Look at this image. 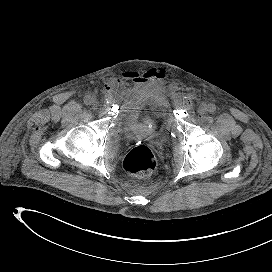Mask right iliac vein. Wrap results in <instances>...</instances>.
<instances>
[{
  "mask_svg": "<svg viewBox=\"0 0 272 272\" xmlns=\"http://www.w3.org/2000/svg\"><path fill=\"white\" fill-rule=\"evenodd\" d=\"M91 105L95 108L98 105V100L95 97H91Z\"/></svg>",
  "mask_w": 272,
  "mask_h": 272,
  "instance_id": "1",
  "label": "right iliac vein"
}]
</instances>
